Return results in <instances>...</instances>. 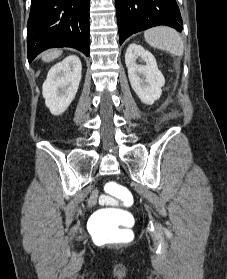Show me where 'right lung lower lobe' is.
I'll return each mask as SVG.
<instances>
[{"instance_id": "obj_1", "label": "right lung lower lobe", "mask_w": 227, "mask_h": 279, "mask_svg": "<svg viewBox=\"0 0 227 279\" xmlns=\"http://www.w3.org/2000/svg\"><path fill=\"white\" fill-rule=\"evenodd\" d=\"M90 0H31L27 51L31 62L40 52L72 47L89 56Z\"/></svg>"}]
</instances>
